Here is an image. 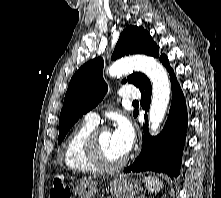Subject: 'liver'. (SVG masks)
<instances>
[{"instance_id": "1", "label": "liver", "mask_w": 221, "mask_h": 198, "mask_svg": "<svg viewBox=\"0 0 221 198\" xmlns=\"http://www.w3.org/2000/svg\"><path fill=\"white\" fill-rule=\"evenodd\" d=\"M84 179H91V178L90 177H88V178L85 177Z\"/></svg>"}]
</instances>
